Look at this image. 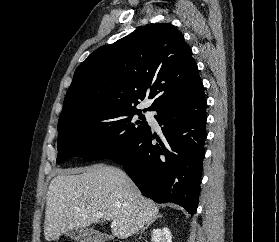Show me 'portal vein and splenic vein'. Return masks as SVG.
Wrapping results in <instances>:
<instances>
[{"instance_id":"obj_1","label":"portal vein and splenic vein","mask_w":279,"mask_h":242,"mask_svg":"<svg viewBox=\"0 0 279 242\" xmlns=\"http://www.w3.org/2000/svg\"><path fill=\"white\" fill-rule=\"evenodd\" d=\"M97 217L102 218V217H103V214L98 213V214H97ZM115 225H116V222L113 221V222H112V226H115Z\"/></svg>"}]
</instances>
